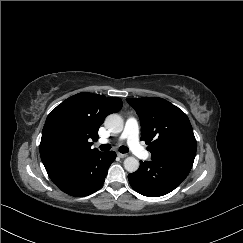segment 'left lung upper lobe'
<instances>
[{
    "label": "left lung upper lobe",
    "instance_id": "5c2ea615",
    "mask_svg": "<svg viewBox=\"0 0 243 243\" xmlns=\"http://www.w3.org/2000/svg\"><path fill=\"white\" fill-rule=\"evenodd\" d=\"M141 121V140L149 144L151 159L196 154V139L187 115L158 97L127 98Z\"/></svg>",
    "mask_w": 243,
    "mask_h": 243
}]
</instances>
